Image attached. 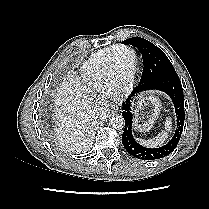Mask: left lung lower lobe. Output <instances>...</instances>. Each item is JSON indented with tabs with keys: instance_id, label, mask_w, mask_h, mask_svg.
I'll list each match as a JSON object with an SVG mask.
<instances>
[{
	"instance_id": "left-lung-lower-lobe-1",
	"label": "left lung lower lobe",
	"mask_w": 209,
	"mask_h": 209,
	"mask_svg": "<svg viewBox=\"0 0 209 209\" xmlns=\"http://www.w3.org/2000/svg\"><path fill=\"white\" fill-rule=\"evenodd\" d=\"M146 90H159L166 93L172 100L177 116V128L173 138L164 146L159 148H146L136 142L132 134V119L131 101L138 93ZM122 116L125 120V128L122 135V143L127 152L142 160H155L166 157L176 148L184 125V96L181 81L176 72L166 73L148 84H139L124 103H122Z\"/></svg>"
}]
</instances>
